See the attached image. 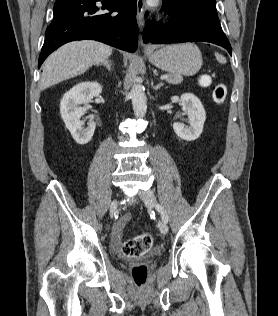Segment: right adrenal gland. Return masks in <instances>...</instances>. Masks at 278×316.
Returning a JSON list of instances; mask_svg holds the SVG:
<instances>
[{"label":"right adrenal gland","mask_w":278,"mask_h":316,"mask_svg":"<svg viewBox=\"0 0 278 316\" xmlns=\"http://www.w3.org/2000/svg\"><path fill=\"white\" fill-rule=\"evenodd\" d=\"M98 66H104V67H106V69H107L108 71H111V69H112V61L109 60V59H106V60L103 61L102 63L98 64Z\"/></svg>","instance_id":"2a0ac1e0"}]
</instances>
